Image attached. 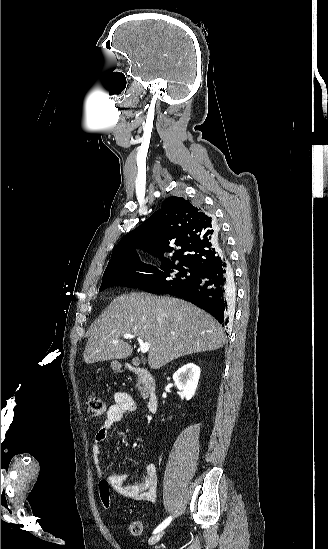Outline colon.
Segmentation results:
<instances>
[{"label":"colon","instance_id":"5ec220e1","mask_svg":"<svg viewBox=\"0 0 328 549\" xmlns=\"http://www.w3.org/2000/svg\"><path fill=\"white\" fill-rule=\"evenodd\" d=\"M88 410L91 416H101L106 411V403L99 396H90L88 399ZM99 497L104 509L111 508V493L109 484L103 480L99 483ZM129 532L132 535L139 536L143 532V523L140 520H134L129 525Z\"/></svg>","mask_w":328,"mask_h":549}]
</instances>
